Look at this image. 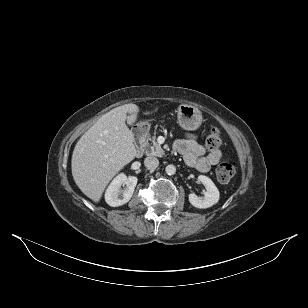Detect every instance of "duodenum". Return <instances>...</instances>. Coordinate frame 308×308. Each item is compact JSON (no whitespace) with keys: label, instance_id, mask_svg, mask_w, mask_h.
<instances>
[{"label":"duodenum","instance_id":"obj_1","mask_svg":"<svg viewBox=\"0 0 308 308\" xmlns=\"http://www.w3.org/2000/svg\"><path fill=\"white\" fill-rule=\"evenodd\" d=\"M148 133V126L141 124L137 126L134 132L135 142H136V156L141 157L144 152V139Z\"/></svg>","mask_w":308,"mask_h":308}]
</instances>
